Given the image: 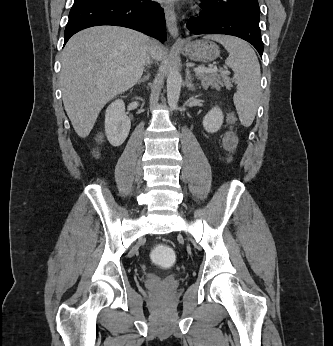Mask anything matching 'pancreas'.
I'll return each instance as SVG.
<instances>
[{
	"label": "pancreas",
	"mask_w": 333,
	"mask_h": 346,
	"mask_svg": "<svg viewBox=\"0 0 333 346\" xmlns=\"http://www.w3.org/2000/svg\"><path fill=\"white\" fill-rule=\"evenodd\" d=\"M197 77L201 80L203 88H208L209 86H211L212 88L219 90L221 86H226V88L228 89L232 87L230 78L223 73H197Z\"/></svg>",
	"instance_id": "1"
}]
</instances>
